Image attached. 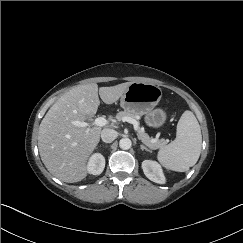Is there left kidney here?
Returning a JSON list of instances; mask_svg holds the SVG:
<instances>
[{
  "label": "left kidney",
  "instance_id": "obj_1",
  "mask_svg": "<svg viewBox=\"0 0 243 243\" xmlns=\"http://www.w3.org/2000/svg\"><path fill=\"white\" fill-rule=\"evenodd\" d=\"M142 169L145 176L151 181L159 184H164L166 182L163 170L156 161L144 160L142 162Z\"/></svg>",
  "mask_w": 243,
  "mask_h": 243
}]
</instances>
